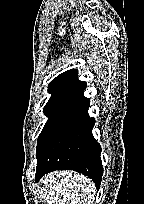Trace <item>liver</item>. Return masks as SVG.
<instances>
[{"instance_id":"1","label":"liver","mask_w":144,"mask_h":204,"mask_svg":"<svg viewBox=\"0 0 144 204\" xmlns=\"http://www.w3.org/2000/svg\"><path fill=\"white\" fill-rule=\"evenodd\" d=\"M47 188L48 204H91L93 181L74 171H55L42 181Z\"/></svg>"}]
</instances>
